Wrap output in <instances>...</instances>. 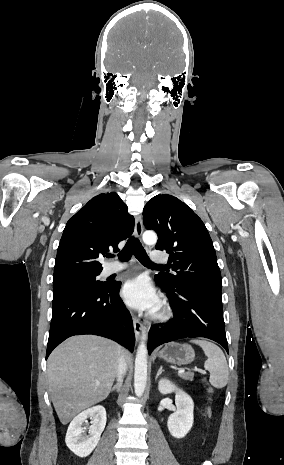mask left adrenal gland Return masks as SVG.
Returning <instances> with one entry per match:
<instances>
[{
    "instance_id": "1",
    "label": "left adrenal gland",
    "mask_w": 284,
    "mask_h": 465,
    "mask_svg": "<svg viewBox=\"0 0 284 465\" xmlns=\"http://www.w3.org/2000/svg\"><path fill=\"white\" fill-rule=\"evenodd\" d=\"M162 369H163V367H160V369H159V371H158V373H157V375H156V379H158L159 375H161Z\"/></svg>"
}]
</instances>
